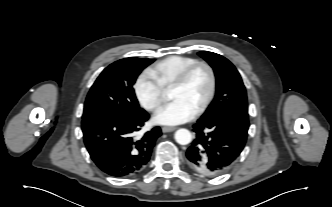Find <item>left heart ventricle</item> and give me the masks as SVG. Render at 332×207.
I'll return each instance as SVG.
<instances>
[{
	"instance_id": "obj_1",
	"label": "left heart ventricle",
	"mask_w": 332,
	"mask_h": 207,
	"mask_svg": "<svg viewBox=\"0 0 332 207\" xmlns=\"http://www.w3.org/2000/svg\"><path fill=\"white\" fill-rule=\"evenodd\" d=\"M209 85L208 72L200 67L193 72L184 86L170 89V98L182 100L196 111L206 97Z\"/></svg>"
}]
</instances>
